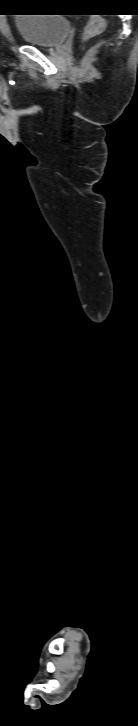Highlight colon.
I'll return each instance as SVG.
<instances>
[{"instance_id":"1","label":"colon","mask_w":138,"mask_h":726,"mask_svg":"<svg viewBox=\"0 0 138 726\" xmlns=\"http://www.w3.org/2000/svg\"><path fill=\"white\" fill-rule=\"evenodd\" d=\"M104 29L105 21L102 18H92L84 31L83 40L86 41L102 34Z\"/></svg>"}]
</instances>
